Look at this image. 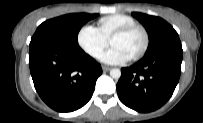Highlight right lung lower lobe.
<instances>
[{"label": "right lung lower lobe", "mask_w": 203, "mask_h": 123, "mask_svg": "<svg viewBox=\"0 0 203 123\" xmlns=\"http://www.w3.org/2000/svg\"><path fill=\"white\" fill-rule=\"evenodd\" d=\"M29 66L41 99L58 112H72L92 97L102 68L80 47L30 42Z\"/></svg>", "instance_id": "right-lung-lower-lobe-1"}]
</instances>
